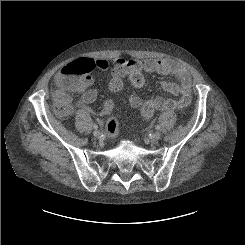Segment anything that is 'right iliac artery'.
<instances>
[{"label":"right iliac artery","mask_w":245,"mask_h":245,"mask_svg":"<svg viewBox=\"0 0 245 245\" xmlns=\"http://www.w3.org/2000/svg\"><path fill=\"white\" fill-rule=\"evenodd\" d=\"M93 128H94V129H98V125L94 124V125H93Z\"/></svg>","instance_id":"82829eb1"}]
</instances>
